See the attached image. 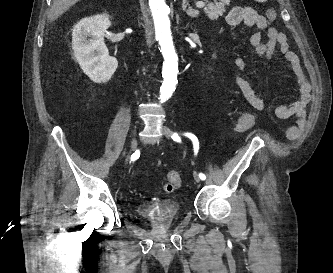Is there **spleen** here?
Returning a JSON list of instances; mask_svg holds the SVG:
<instances>
[{"label":"spleen","instance_id":"3e777b00","mask_svg":"<svg viewBox=\"0 0 333 273\" xmlns=\"http://www.w3.org/2000/svg\"><path fill=\"white\" fill-rule=\"evenodd\" d=\"M257 2H266L267 0H256Z\"/></svg>","mask_w":333,"mask_h":273}]
</instances>
